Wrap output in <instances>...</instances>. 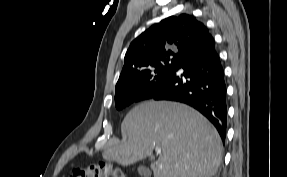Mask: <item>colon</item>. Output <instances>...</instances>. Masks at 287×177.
Listing matches in <instances>:
<instances>
[{"label": "colon", "mask_w": 287, "mask_h": 177, "mask_svg": "<svg viewBox=\"0 0 287 177\" xmlns=\"http://www.w3.org/2000/svg\"><path fill=\"white\" fill-rule=\"evenodd\" d=\"M71 177H124V174L111 163L95 161L86 167L74 169Z\"/></svg>", "instance_id": "5ec220e1"}]
</instances>
